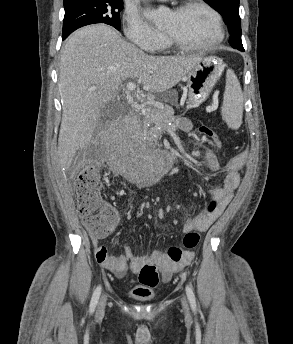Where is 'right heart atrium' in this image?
I'll use <instances>...</instances> for the list:
<instances>
[{"instance_id":"1","label":"right heart atrium","mask_w":293,"mask_h":344,"mask_svg":"<svg viewBox=\"0 0 293 344\" xmlns=\"http://www.w3.org/2000/svg\"><path fill=\"white\" fill-rule=\"evenodd\" d=\"M124 33L130 44L142 51H153L164 40L161 32L132 11H127L124 16Z\"/></svg>"}]
</instances>
